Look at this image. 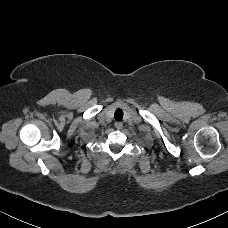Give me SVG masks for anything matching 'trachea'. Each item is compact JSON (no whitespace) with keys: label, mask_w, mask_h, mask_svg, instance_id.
I'll return each instance as SVG.
<instances>
[{"label":"trachea","mask_w":228,"mask_h":228,"mask_svg":"<svg viewBox=\"0 0 228 228\" xmlns=\"http://www.w3.org/2000/svg\"><path fill=\"white\" fill-rule=\"evenodd\" d=\"M114 118L116 121H121L123 119V111L121 109H117L114 113Z\"/></svg>","instance_id":"obj_1"}]
</instances>
